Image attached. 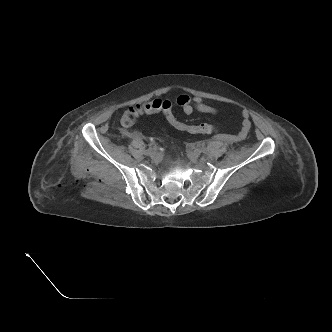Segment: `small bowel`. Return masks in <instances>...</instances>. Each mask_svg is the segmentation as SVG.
Masks as SVG:
<instances>
[{
  "label": "small bowel",
  "mask_w": 332,
  "mask_h": 332,
  "mask_svg": "<svg viewBox=\"0 0 332 332\" xmlns=\"http://www.w3.org/2000/svg\"><path fill=\"white\" fill-rule=\"evenodd\" d=\"M177 104L181 107L182 112L185 115H191L194 111L205 114H215L217 112L216 108L208 105L199 96H188L186 94H181L176 98ZM251 129L250 115L247 111L242 112V122L240 130L237 134L238 140H243L247 137Z\"/></svg>",
  "instance_id": "1"
}]
</instances>
